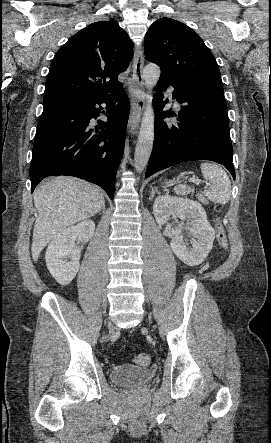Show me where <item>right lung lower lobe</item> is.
Instances as JSON below:
<instances>
[{"mask_svg":"<svg viewBox=\"0 0 271 443\" xmlns=\"http://www.w3.org/2000/svg\"><path fill=\"white\" fill-rule=\"evenodd\" d=\"M110 107L107 122L92 133L90 120L100 114V106ZM100 107L97 108L96 106ZM130 103L123 90L111 97L75 100L44 107L33 145L30 166L31 189L47 176L68 175L101 186L112 199L115 177L123 151Z\"/></svg>","mask_w":271,"mask_h":443,"instance_id":"98d812e1","label":"right lung lower lobe"}]
</instances>
